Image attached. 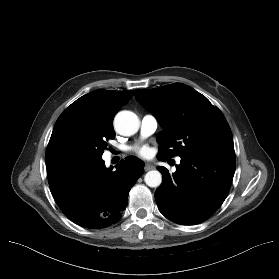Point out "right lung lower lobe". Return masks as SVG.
Masks as SVG:
<instances>
[{
	"instance_id": "right-lung-lower-lobe-1",
	"label": "right lung lower lobe",
	"mask_w": 279,
	"mask_h": 279,
	"mask_svg": "<svg viewBox=\"0 0 279 279\" xmlns=\"http://www.w3.org/2000/svg\"><path fill=\"white\" fill-rule=\"evenodd\" d=\"M115 167L107 169L101 158L47 166L52 196L71 221L97 229L120 220L144 163L128 156Z\"/></svg>"
}]
</instances>
